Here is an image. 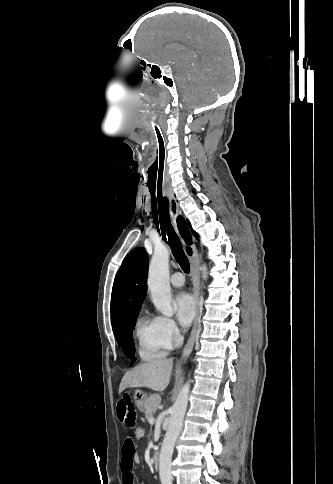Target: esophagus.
<instances>
[{
  "mask_svg": "<svg viewBox=\"0 0 333 484\" xmlns=\"http://www.w3.org/2000/svg\"><path fill=\"white\" fill-rule=\"evenodd\" d=\"M167 197L169 200V211L173 219V222L176 225V218L178 215L181 214V210L173 194H169ZM181 240H182L185 253L190 261V269H191L190 274H191L192 283H193V297L196 304V316L192 326V330L188 338V341L183 349L181 358L179 360V363H185L193 350L197 333H198V321L200 317V314H199L200 313L199 312L200 277H199L198 252L195 244L190 243L183 238H181Z\"/></svg>",
  "mask_w": 333,
  "mask_h": 484,
  "instance_id": "obj_1",
  "label": "esophagus"
}]
</instances>
